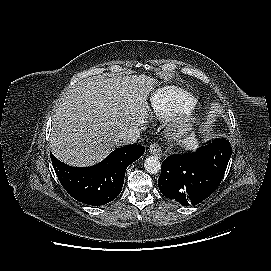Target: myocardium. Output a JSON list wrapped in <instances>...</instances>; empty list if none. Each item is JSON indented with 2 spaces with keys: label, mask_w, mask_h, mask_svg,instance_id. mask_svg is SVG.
I'll list each match as a JSON object with an SVG mask.
<instances>
[{
  "label": "myocardium",
  "mask_w": 271,
  "mask_h": 271,
  "mask_svg": "<svg viewBox=\"0 0 271 271\" xmlns=\"http://www.w3.org/2000/svg\"><path fill=\"white\" fill-rule=\"evenodd\" d=\"M196 117L190 112L172 117L168 120L166 137L171 141H182L192 134Z\"/></svg>",
  "instance_id": "1"
}]
</instances>
